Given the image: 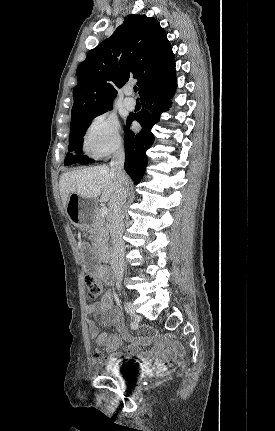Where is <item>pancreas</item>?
Returning <instances> with one entry per match:
<instances>
[{
  "label": "pancreas",
  "instance_id": "1",
  "mask_svg": "<svg viewBox=\"0 0 275 431\" xmlns=\"http://www.w3.org/2000/svg\"><path fill=\"white\" fill-rule=\"evenodd\" d=\"M106 227L107 224L104 217L100 216L98 209L94 210L92 224L89 230L91 234V243L95 251H100L105 246L107 237Z\"/></svg>",
  "mask_w": 275,
  "mask_h": 431
}]
</instances>
